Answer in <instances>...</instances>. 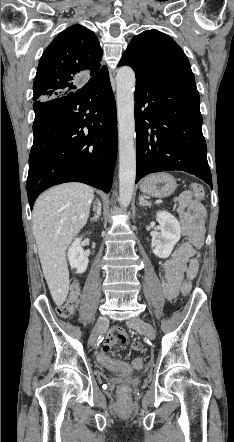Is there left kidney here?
<instances>
[{
	"label": "left kidney",
	"mask_w": 234,
	"mask_h": 442,
	"mask_svg": "<svg viewBox=\"0 0 234 442\" xmlns=\"http://www.w3.org/2000/svg\"><path fill=\"white\" fill-rule=\"evenodd\" d=\"M156 220L160 225V232L152 238L153 253L159 258L170 256L176 243L181 237V228L178 220L167 211H159Z\"/></svg>",
	"instance_id": "1"
}]
</instances>
